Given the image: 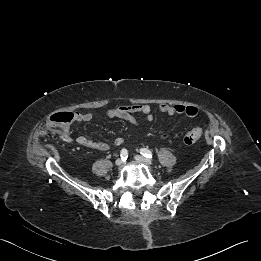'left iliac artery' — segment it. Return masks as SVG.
Listing matches in <instances>:
<instances>
[{
	"label": "left iliac artery",
	"mask_w": 261,
	"mask_h": 261,
	"mask_svg": "<svg viewBox=\"0 0 261 261\" xmlns=\"http://www.w3.org/2000/svg\"><path fill=\"white\" fill-rule=\"evenodd\" d=\"M140 153L147 158H152V152L146 148H141Z\"/></svg>",
	"instance_id": "44dca946"
}]
</instances>
